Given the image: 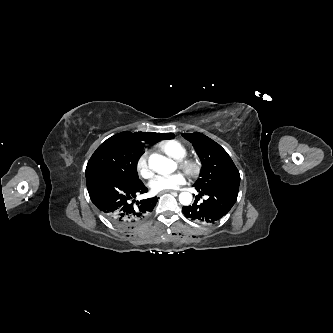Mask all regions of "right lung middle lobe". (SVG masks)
<instances>
[{"label": "right lung middle lobe", "instance_id": "1", "mask_svg": "<svg viewBox=\"0 0 333 333\" xmlns=\"http://www.w3.org/2000/svg\"><path fill=\"white\" fill-rule=\"evenodd\" d=\"M158 138H173V133H157ZM140 156H134L125 139L116 134L104 141L93 153L87 163L86 174L104 171L133 182L141 181L137 174V162Z\"/></svg>", "mask_w": 333, "mask_h": 333}]
</instances>
